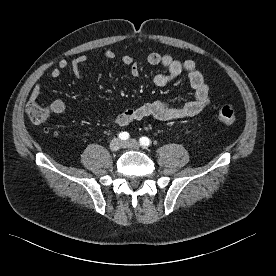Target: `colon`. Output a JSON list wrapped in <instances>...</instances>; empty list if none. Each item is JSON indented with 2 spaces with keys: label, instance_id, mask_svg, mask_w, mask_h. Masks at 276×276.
Listing matches in <instances>:
<instances>
[{
  "label": "colon",
  "instance_id": "colon-1",
  "mask_svg": "<svg viewBox=\"0 0 276 276\" xmlns=\"http://www.w3.org/2000/svg\"><path fill=\"white\" fill-rule=\"evenodd\" d=\"M28 118L33 124H42L49 116V109L47 106L38 103L30 102L26 107ZM218 120L225 125H233L236 122V112L230 105H223L218 109Z\"/></svg>",
  "mask_w": 276,
  "mask_h": 276
}]
</instances>
